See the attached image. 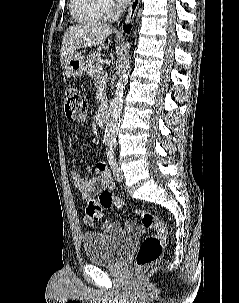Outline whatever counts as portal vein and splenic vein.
I'll list each match as a JSON object with an SVG mask.
<instances>
[{
    "label": "portal vein and splenic vein",
    "instance_id": "obj_1",
    "mask_svg": "<svg viewBox=\"0 0 239 303\" xmlns=\"http://www.w3.org/2000/svg\"><path fill=\"white\" fill-rule=\"evenodd\" d=\"M97 74H98V76H101L103 74V68H102V66H99L97 68Z\"/></svg>",
    "mask_w": 239,
    "mask_h": 303
}]
</instances>
